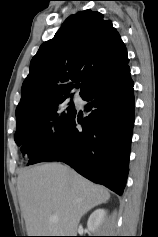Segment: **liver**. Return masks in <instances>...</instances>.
I'll return each instance as SVG.
<instances>
[{
  "mask_svg": "<svg viewBox=\"0 0 158 237\" xmlns=\"http://www.w3.org/2000/svg\"><path fill=\"white\" fill-rule=\"evenodd\" d=\"M17 189L28 236H75L82 216L110 198L103 186L55 162L22 170Z\"/></svg>",
  "mask_w": 158,
  "mask_h": 237,
  "instance_id": "1",
  "label": "liver"
}]
</instances>
